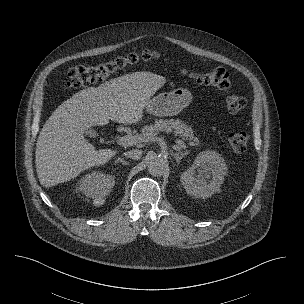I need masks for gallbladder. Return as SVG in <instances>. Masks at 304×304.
<instances>
[{"label":"gallbladder","mask_w":304,"mask_h":304,"mask_svg":"<svg viewBox=\"0 0 304 304\" xmlns=\"http://www.w3.org/2000/svg\"><path fill=\"white\" fill-rule=\"evenodd\" d=\"M88 135H92L93 134V130L92 129H90L89 131H88V133H87Z\"/></svg>","instance_id":"bac80fb5"}]
</instances>
